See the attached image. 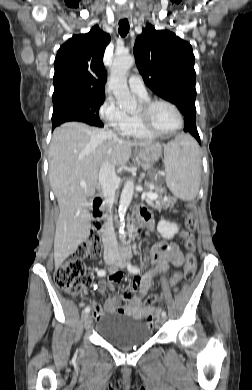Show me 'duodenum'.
Returning <instances> with one entry per match:
<instances>
[{
  "label": "duodenum",
  "instance_id": "obj_1",
  "mask_svg": "<svg viewBox=\"0 0 252 390\" xmlns=\"http://www.w3.org/2000/svg\"><path fill=\"white\" fill-rule=\"evenodd\" d=\"M104 197L99 195L92 201V216L94 218V228L105 237L106 221L103 214ZM145 207L137 208L132 214V230L135 236L140 234L145 226L142 211ZM147 227V226H146Z\"/></svg>",
  "mask_w": 252,
  "mask_h": 390
}]
</instances>
